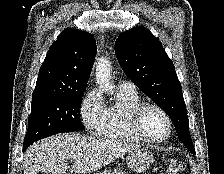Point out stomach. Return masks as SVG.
<instances>
[{
    "label": "stomach",
    "mask_w": 224,
    "mask_h": 174,
    "mask_svg": "<svg viewBox=\"0 0 224 174\" xmlns=\"http://www.w3.org/2000/svg\"><path fill=\"white\" fill-rule=\"evenodd\" d=\"M126 161L130 169L140 173L146 171L151 166L154 162V156L148 149L139 147L128 152ZM101 173L105 174V171Z\"/></svg>",
    "instance_id": "1"
}]
</instances>
